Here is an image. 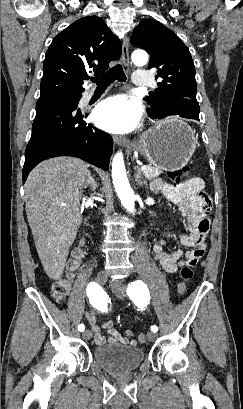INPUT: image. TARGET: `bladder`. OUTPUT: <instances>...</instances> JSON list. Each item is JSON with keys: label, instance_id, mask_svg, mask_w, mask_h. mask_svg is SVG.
<instances>
[{"label": "bladder", "instance_id": "bladder-1", "mask_svg": "<svg viewBox=\"0 0 243 409\" xmlns=\"http://www.w3.org/2000/svg\"><path fill=\"white\" fill-rule=\"evenodd\" d=\"M93 358L105 370L120 374L137 369L144 361L145 354L140 347L111 343L96 347Z\"/></svg>", "mask_w": 243, "mask_h": 409}]
</instances>
